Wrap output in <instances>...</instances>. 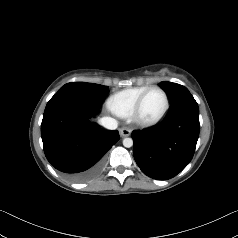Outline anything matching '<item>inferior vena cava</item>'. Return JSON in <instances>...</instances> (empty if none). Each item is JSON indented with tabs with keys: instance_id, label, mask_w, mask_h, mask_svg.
Listing matches in <instances>:
<instances>
[{
	"instance_id": "602c4592",
	"label": "inferior vena cava",
	"mask_w": 238,
	"mask_h": 238,
	"mask_svg": "<svg viewBox=\"0 0 238 238\" xmlns=\"http://www.w3.org/2000/svg\"><path fill=\"white\" fill-rule=\"evenodd\" d=\"M99 123L109 130H115L118 126L117 120L111 117H103L99 120Z\"/></svg>"
}]
</instances>
